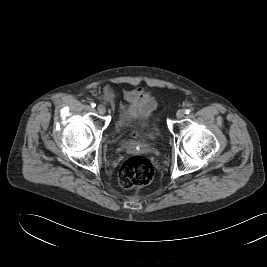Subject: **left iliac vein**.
<instances>
[{
    "mask_svg": "<svg viewBox=\"0 0 267 267\" xmlns=\"http://www.w3.org/2000/svg\"><path fill=\"white\" fill-rule=\"evenodd\" d=\"M184 115H185V111L182 110V109L178 110L177 113H176V117L178 119H182L184 117Z\"/></svg>",
    "mask_w": 267,
    "mask_h": 267,
    "instance_id": "obj_1",
    "label": "left iliac vein"
}]
</instances>
